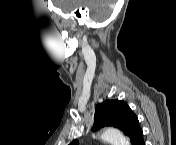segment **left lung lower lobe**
I'll return each instance as SVG.
<instances>
[{"mask_svg":"<svg viewBox=\"0 0 176 145\" xmlns=\"http://www.w3.org/2000/svg\"><path fill=\"white\" fill-rule=\"evenodd\" d=\"M132 145H145L143 140V132L137 137V139Z\"/></svg>","mask_w":176,"mask_h":145,"instance_id":"0a47b994","label":"left lung lower lobe"}]
</instances>
